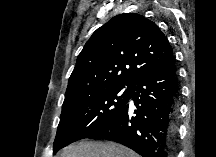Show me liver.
<instances>
[{
  "label": "liver",
  "instance_id": "liver-1",
  "mask_svg": "<svg viewBox=\"0 0 216 157\" xmlns=\"http://www.w3.org/2000/svg\"><path fill=\"white\" fill-rule=\"evenodd\" d=\"M59 157H138V154L114 142H80L64 148Z\"/></svg>",
  "mask_w": 216,
  "mask_h": 157
}]
</instances>
